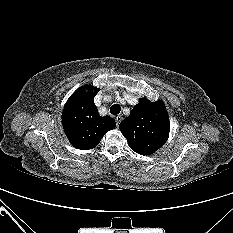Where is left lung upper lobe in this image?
I'll list each match as a JSON object with an SVG mask.
<instances>
[{"mask_svg":"<svg viewBox=\"0 0 233 233\" xmlns=\"http://www.w3.org/2000/svg\"><path fill=\"white\" fill-rule=\"evenodd\" d=\"M133 151L150 155L168 139L170 121L163 101L141 98L119 126Z\"/></svg>","mask_w":233,"mask_h":233,"instance_id":"left-lung-upper-lobe-1","label":"left lung upper lobe"}]
</instances>
